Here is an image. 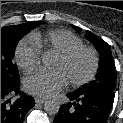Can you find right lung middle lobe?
<instances>
[{
    "mask_svg": "<svg viewBox=\"0 0 123 123\" xmlns=\"http://www.w3.org/2000/svg\"><path fill=\"white\" fill-rule=\"evenodd\" d=\"M41 21H33L1 28V81L19 84L20 77L16 64L12 62L18 41Z\"/></svg>",
    "mask_w": 123,
    "mask_h": 123,
    "instance_id": "dd1d6c3e",
    "label": "right lung middle lobe"
}]
</instances>
